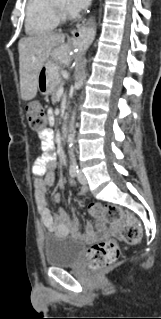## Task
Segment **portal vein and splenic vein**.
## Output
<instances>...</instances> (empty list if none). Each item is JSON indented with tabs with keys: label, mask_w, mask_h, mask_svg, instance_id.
Instances as JSON below:
<instances>
[{
	"label": "portal vein and splenic vein",
	"mask_w": 161,
	"mask_h": 319,
	"mask_svg": "<svg viewBox=\"0 0 161 319\" xmlns=\"http://www.w3.org/2000/svg\"><path fill=\"white\" fill-rule=\"evenodd\" d=\"M63 92H64L63 88H59L57 91V96L61 97L63 95Z\"/></svg>",
	"instance_id": "portal-vein-and-splenic-vein-1"
}]
</instances>
